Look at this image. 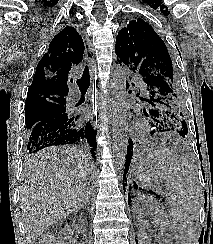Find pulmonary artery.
<instances>
[{
    "instance_id": "1",
    "label": "pulmonary artery",
    "mask_w": 213,
    "mask_h": 244,
    "mask_svg": "<svg viewBox=\"0 0 213 244\" xmlns=\"http://www.w3.org/2000/svg\"><path fill=\"white\" fill-rule=\"evenodd\" d=\"M71 99L72 101H77L79 99V93L77 91H73L71 93Z\"/></svg>"
}]
</instances>
